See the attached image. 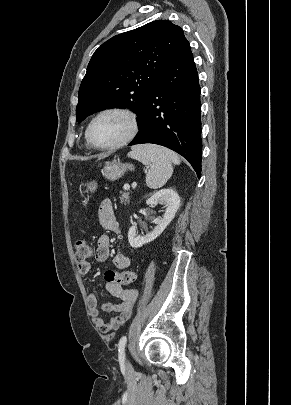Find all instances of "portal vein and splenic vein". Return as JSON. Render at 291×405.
<instances>
[{"mask_svg": "<svg viewBox=\"0 0 291 405\" xmlns=\"http://www.w3.org/2000/svg\"><path fill=\"white\" fill-rule=\"evenodd\" d=\"M124 189H125V190H129V189H130V185H129V184H125V185H124Z\"/></svg>", "mask_w": 291, "mask_h": 405, "instance_id": "1", "label": "portal vein and splenic vein"}]
</instances>
